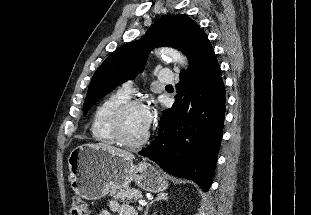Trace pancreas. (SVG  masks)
Returning a JSON list of instances; mask_svg holds the SVG:
<instances>
[{
  "instance_id": "1",
  "label": "pancreas",
  "mask_w": 311,
  "mask_h": 215,
  "mask_svg": "<svg viewBox=\"0 0 311 215\" xmlns=\"http://www.w3.org/2000/svg\"><path fill=\"white\" fill-rule=\"evenodd\" d=\"M111 196L123 203H130L143 198L140 190L129 187L121 189L118 192H111Z\"/></svg>"
}]
</instances>
